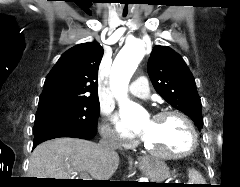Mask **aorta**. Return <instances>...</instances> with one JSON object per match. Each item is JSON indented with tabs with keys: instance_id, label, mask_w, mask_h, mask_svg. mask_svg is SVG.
Returning a JSON list of instances; mask_svg holds the SVG:
<instances>
[{
	"instance_id": "obj_1",
	"label": "aorta",
	"mask_w": 240,
	"mask_h": 187,
	"mask_svg": "<svg viewBox=\"0 0 240 187\" xmlns=\"http://www.w3.org/2000/svg\"><path fill=\"white\" fill-rule=\"evenodd\" d=\"M142 41H129L115 58L110 72V86L122 110L134 113L140 117L142 109L128 99V85L139 62L144 56Z\"/></svg>"
}]
</instances>
